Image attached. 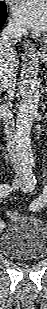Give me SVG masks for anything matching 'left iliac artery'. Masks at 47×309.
<instances>
[{
	"mask_svg": "<svg viewBox=\"0 0 47 309\" xmlns=\"http://www.w3.org/2000/svg\"><path fill=\"white\" fill-rule=\"evenodd\" d=\"M47 202V196L46 194H43L42 196H40L36 201H34L30 207L31 210L35 211L40 209L41 207H43Z\"/></svg>",
	"mask_w": 47,
	"mask_h": 309,
	"instance_id": "left-iliac-artery-1",
	"label": "left iliac artery"
}]
</instances>
